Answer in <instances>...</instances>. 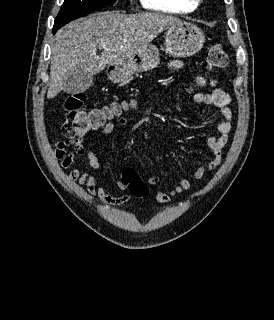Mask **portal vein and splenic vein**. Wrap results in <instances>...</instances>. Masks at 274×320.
I'll return each mask as SVG.
<instances>
[{
    "mask_svg": "<svg viewBox=\"0 0 274 320\" xmlns=\"http://www.w3.org/2000/svg\"><path fill=\"white\" fill-rule=\"evenodd\" d=\"M101 48H105V44H104V46H101Z\"/></svg>",
    "mask_w": 274,
    "mask_h": 320,
    "instance_id": "1",
    "label": "portal vein and splenic vein"
}]
</instances>
